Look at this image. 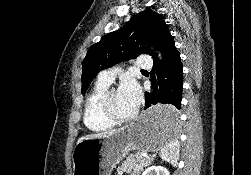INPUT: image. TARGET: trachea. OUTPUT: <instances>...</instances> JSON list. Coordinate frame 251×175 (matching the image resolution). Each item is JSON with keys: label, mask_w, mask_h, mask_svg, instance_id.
Instances as JSON below:
<instances>
[{"label": "trachea", "mask_w": 251, "mask_h": 175, "mask_svg": "<svg viewBox=\"0 0 251 175\" xmlns=\"http://www.w3.org/2000/svg\"><path fill=\"white\" fill-rule=\"evenodd\" d=\"M141 72H146V70H141Z\"/></svg>", "instance_id": "obj_1"}]
</instances>
